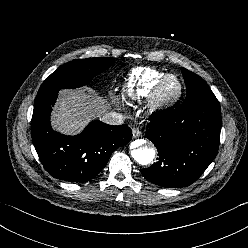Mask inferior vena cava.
<instances>
[{
  "label": "inferior vena cava",
  "mask_w": 248,
  "mask_h": 248,
  "mask_svg": "<svg viewBox=\"0 0 248 248\" xmlns=\"http://www.w3.org/2000/svg\"><path fill=\"white\" fill-rule=\"evenodd\" d=\"M125 117L117 112H110L106 113L103 117L102 120L110 125H120L123 124Z\"/></svg>",
  "instance_id": "1"
}]
</instances>
